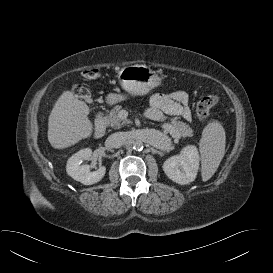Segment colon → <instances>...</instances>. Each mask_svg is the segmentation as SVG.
I'll return each mask as SVG.
<instances>
[{"instance_id": "obj_1", "label": "colon", "mask_w": 273, "mask_h": 273, "mask_svg": "<svg viewBox=\"0 0 273 273\" xmlns=\"http://www.w3.org/2000/svg\"><path fill=\"white\" fill-rule=\"evenodd\" d=\"M82 76L87 80H94L99 78L100 71L96 68H88L82 72ZM73 94L81 99L89 100L91 98L90 90L80 84H76L72 87ZM219 102V98L215 95H209L203 97L196 106L197 115L201 120H207L210 116V110Z\"/></svg>"}]
</instances>
